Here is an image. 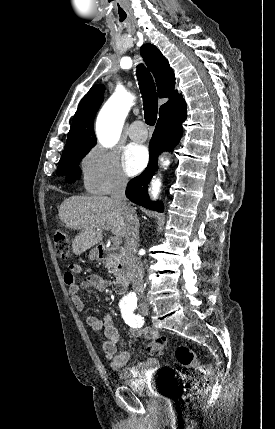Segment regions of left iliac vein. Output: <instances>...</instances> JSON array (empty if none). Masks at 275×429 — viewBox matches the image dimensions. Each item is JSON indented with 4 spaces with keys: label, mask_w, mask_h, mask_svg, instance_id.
<instances>
[{
    "label": "left iliac vein",
    "mask_w": 275,
    "mask_h": 429,
    "mask_svg": "<svg viewBox=\"0 0 275 429\" xmlns=\"http://www.w3.org/2000/svg\"><path fill=\"white\" fill-rule=\"evenodd\" d=\"M148 312H149V308H148V306H147V305H143V306H141V308H140V313H141L142 315H147V314H148Z\"/></svg>",
    "instance_id": "4c4485c4"
}]
</instances>
